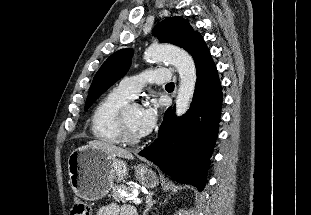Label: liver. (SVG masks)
<instances>
[{"label":"liver","mask_w":311,"mask_h":215,"mask_svg":"<svg viewBox=\"0 0 311 215\" xmlns=\"http://www.w3.org/2000/svg\"><path fill=\"white\" fill-rule=\"evenodd\" d=\"M88 146L97 148L105 152L111 157H119V158H125V159H133V155L131 152L120 148L118 146H115L111 143L100 141V140H91L88 142Z\"/></svg>","instance_id":"6515ba94"}]
</instances>
